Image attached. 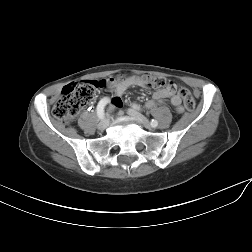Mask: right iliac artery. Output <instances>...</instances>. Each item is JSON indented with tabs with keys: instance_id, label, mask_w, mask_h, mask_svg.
<instances>
[{
	"instance_id": "82829eb1",
	"label": "right iliac artery",
	"mask_w": 252,
	"mask_h": 252,
	"mask_svg": "<svg viewBox=\"0 0 252 252\" xmlns=\"http://www.w3.org/2000/svg\"><path fill=\"white\" fill-rule=\"evenodd\" d=\"M109 102V98H104L102 99L98 105H97V113L99 115V119H101V121H104V109H105V106L107 105V103Z\"/></svg>"
}]
</instances>
